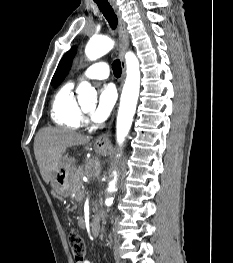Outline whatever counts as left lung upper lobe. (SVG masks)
Here are the masks:
<instances>
[{
	"instance_id": "1",
	"label": "left lung upper lobe",
	"mask_w": 233,
	"mask_h": 263,
	"mask_svg": "<svg viewBox=\"0 0 233 263\" xmlns=\"http://www.w3.org/2000/svg\"><path fill=\"white\" fill-rule=\"evenodd\" d=\"M75 52H76L75 48H72V49H70V50L64 55V57L61 59L59 65H58V68H57V70H56V72H55V74H54V76H53L52 81H51L52 84H53L56 76L58 75V73L61 71V69L66 65V63H67L70 59H72V58L74 57Z\"/></svg>"
}]
</instances>
